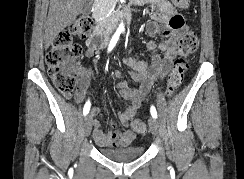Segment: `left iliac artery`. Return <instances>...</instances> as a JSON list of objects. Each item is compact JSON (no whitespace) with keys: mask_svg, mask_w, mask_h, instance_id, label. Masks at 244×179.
Wrapping results in <instances>:
<instances>
[{"mask_svg":"<svg viewBox=\"0 0 244 179\" xmlns=\"http://www.w3.org/2000/svg\"><path fill=\"white\" fill-rule=\"evenodd\" d=\"M150 112L153 118H157V111L154 106H151Z\"/></svg>","mask_w":244,"mask_h":179,"instance_id":"left-iliac-artery-1","label":"left iliac artery"}]
</instances>
